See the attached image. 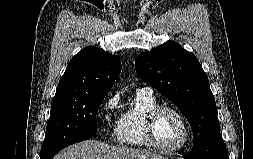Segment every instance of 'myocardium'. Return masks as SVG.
Segmentation results:
<instances>
[{"instance_id":"1","label":"myocardium","mask_w":253,"mask_h":159,"mask_svg":"<svg viewBox=\"0 0 253 159\" xmlns=\"http://www.w3.org/2000/svg\"><path fill=\"white\" fill-rule=\"evenodd\" d=\"M164 111H171L175 113L179 117L184 128V134H183V138L181 142L176 147H173V148H165V147L160 146L155 136L154 128H155L156 119ZM143 136L146 143L150 147L164 154H176L180 152L188 143L189 137H190V126L184 114L176 107H173L170 105H157L154 108H152L145 117V120L143 123Z\"/></svg>"}]
</instances>
